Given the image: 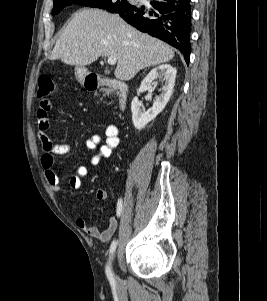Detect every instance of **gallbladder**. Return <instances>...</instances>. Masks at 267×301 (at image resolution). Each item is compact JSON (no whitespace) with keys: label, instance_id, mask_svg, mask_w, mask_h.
<instances>
[{"label":"gallbladder","instance_id":"gallbladder-1","mask_svg":"<svg viewBox=\"0 0 267 301\" xmlns=\"http://www.w3.org/2000/svg\"><path fill=\"white\" fill-rule=\"evenodd\" d=\"M105 74H109V71H105Z\"/></svg>","mask_w":267,"mask_h":301}]
</instances>
